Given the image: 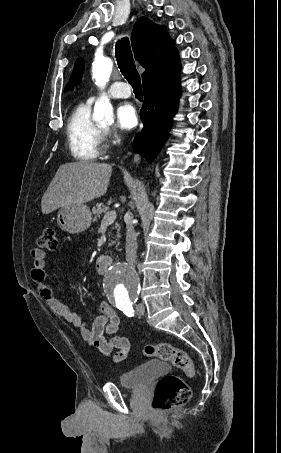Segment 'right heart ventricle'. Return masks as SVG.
I'll return each mask as SVG.
<instances>
[{
    "mask_svg": "<svg viewBox=\"0 0 281 453\" xmlns=\"http://www.w3.org/2000/svg\"><path fill=\"white\" fill-rule=\"evenodd\" d=\"M92 100L80 103L67 119V137L72 155L77 160H97L105 131L92 118Z\"/></svg>",
    "mask_w": 281,
    "mask_h": 453,
    "instance_id": "right-heart-ventricle-1",
    "label": "right heart ventricle"
}]
</instances>
